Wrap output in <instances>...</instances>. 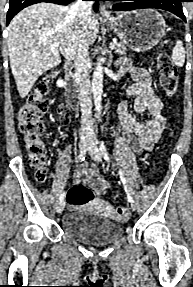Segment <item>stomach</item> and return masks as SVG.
Segmentation results:
<instances>
[{
  "mask_svg": "<svg viewBox=\"0 0 193 287\" xmlns=\"http://www.w3.org/2000/svg\"><path fill=\"white\" fill-rule=\"evenodd\" d=\"M105 22L130 49L137 52L157 45L167 27L162 15L153 9L125 12Z\"/></svg>",
  "mask_w": 193,
  "mask_h": 287,
  "instance_id": "1",
  "label": "stomach"
}]
</instances>
